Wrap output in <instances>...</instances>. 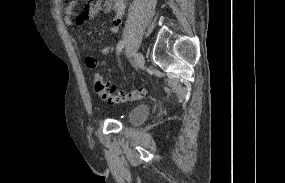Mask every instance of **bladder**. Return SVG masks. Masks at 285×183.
<instances>
[{
	"instance_id": "31cf9c89",
	"label": "bladder",
	"mask_w": 285,
	"mask_h": 183,
	"mask_svg": "<svg viewBox=\"0 0 285 183\" xmlns=\"http://www.w3.org/2000/svg\"><path fill=\"white\" fill-rule=\"evenodd\" d=\"M149 114L150 110L147 106L137 105L129 110L127 115V122L133 125L141 124L146 120Z\"/></svg>"
}]
</instances>
